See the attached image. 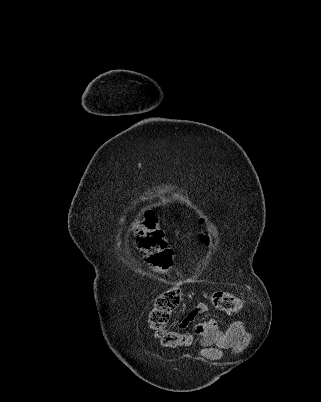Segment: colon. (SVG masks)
<instances>
[{"label":"colon","mask_w":321,"mask_h":402,"mask_svg":"<svg viewBox=\"0 0 321 402\" xmlns=\"http://www.w3.org/2000/svg\"><path fill=\"white\" fill-rule=\"evenodd\" d=\"M204 221V218H202L201 224ZM134 232L141 251L147 257L148 264L157 272L166 273L173 263V251L165 238L164 232L158 227V218L153 210H147L143 219L135 222ZM200 239L203 244H209L207 235L201 234ZM210 299L217 310L227 314L238 313L242 308L241 300L228 291H214ZM180 301V290L178 288H169L156 297L149 312V324L165 347L177 348L190 342L189 335L166 329L171 315L178 308Z\"/></svg>","instance_id":"1"}]
</instances>
